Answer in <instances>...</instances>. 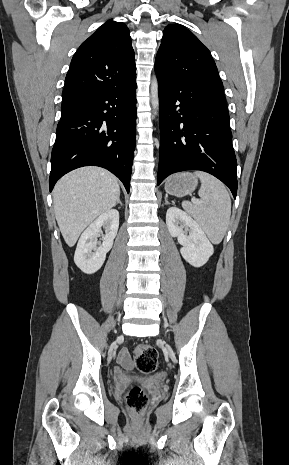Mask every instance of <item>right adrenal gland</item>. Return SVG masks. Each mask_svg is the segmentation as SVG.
I'll list each match as a JSON object with an SVG mask.
<instances>
[{
	"mask_svg": "<svg viewBox=\"0 0 289 465\" xmlns=\"http://www.w3.org/2000/svg\"><path fill=\"white\" fill-rule=\"evenodd\" d=\"M117 204H120V206H122V205H123V204H122V202L120 201V198H118V200H117V202H116L115 206H116Z\"/></svg>",
	"mask_w": 289,
	"mask_h": 465,
	"instance_id": "right-adrenal-gland-1",
	"label": "right adrenal gland"
}]
</instances>
